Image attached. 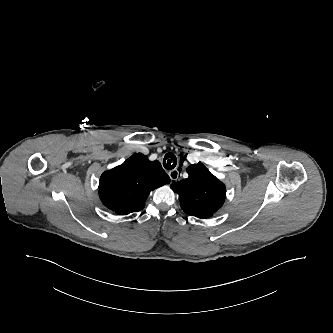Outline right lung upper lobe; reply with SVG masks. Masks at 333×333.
<instances>
[{"label": "right lung upper lobe", "mask_w": 333, "mask_h": 333, "mask_svg": "<svg viewBox=\"0 0 333 333\" xmlns=\"http://www.w3.org/2000/svg\"><path fill=\"white\" fill-rule=\"evenodd\" d=\"M169 182L159 161L138 153L101 175L99 197L116 214L127 215L142 210L150 191Z\"/></svg>", "instance_id": "1"}]
</instances>
